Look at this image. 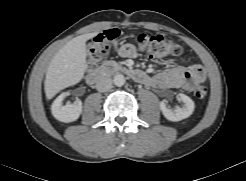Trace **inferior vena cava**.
<instances>
[{"label": "inferior vena cava", "mask_w": 246, "mask_h": 181, "mask_svg": "<svg viewBox=\"0 0 246 181\" xmlns=\"http://www.w3.org/2000/svg\"><path fill=\"white\" fill-rule=\"evenodd\" d=\"M112 88V79L108 76H99L96 81V89L105 92Z\"/></svg>", "instance_id": "obj_1"}]
</instances>
